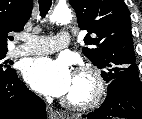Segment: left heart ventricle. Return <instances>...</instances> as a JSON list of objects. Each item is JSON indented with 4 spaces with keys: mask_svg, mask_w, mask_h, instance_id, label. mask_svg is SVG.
<instances>
[{
    "mask_svg": "<svg viewBox=\"0 0 142 119\" xmlns=\"http://www.w3.org/2000/svg\"><path fill=\"white\" fill-rule=\"evenodd\" d=\"M89 91L90 82L85 78L74 76L72 88L66 97L82 100L88 95Z\"/></svg>",
    "mask_w": 142,
    "mask_h": 119,
    "instance_id": "b2bd125f",
    "label": "left heart ventricle"
}]
</instances>
